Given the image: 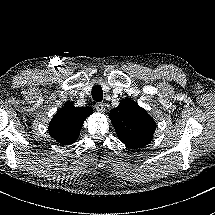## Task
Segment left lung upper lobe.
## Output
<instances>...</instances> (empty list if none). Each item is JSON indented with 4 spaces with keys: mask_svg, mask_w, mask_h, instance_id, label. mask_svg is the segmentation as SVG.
Here are the masks:
<instances>
[{
    "mask_svg": "<svg viewBox=\"0 0 215 215\" xmlns=\"http://www.w3.org/2000/svg\"><path fill=\"white\" fill-rule=\"evenodd\" d=\"M109 116L119 140L127 147L138 149L151 142L156 124L135 101L122 100Z\"/></svg>",
    "mask_w": 215,
    "mask_h": 215,
    "instance_id": "5c2ea615",
    "label": "left lung upper lobe"
}]
</instances>
